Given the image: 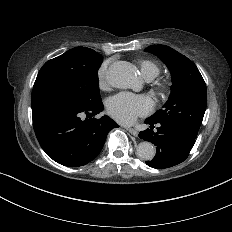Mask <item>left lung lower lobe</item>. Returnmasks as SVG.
Wrapping results in <instances>:
<instances>
[{"mask_svg":"<svg viewBox=\"0 0 232 232\" xmlns=\"http://www.w3.org/2000/svg\"><path fill=\"white\" fill-rule=\"evenodd\" d=\"M151 129L139 133V138L154 143L156 155L146 164L157 169L175 166L187 159L195 144L197 136L191 135L178 125L167 122L145 120ZM154 124H158L157 131H153Z\"/></svg>","mask_w":232,"mask_h":232,"instance_id":"0a47b994","label":"left lung lower lobe"}]
</instances>
